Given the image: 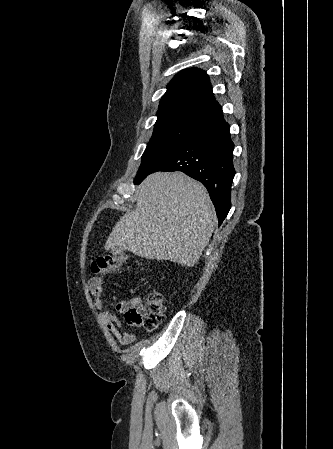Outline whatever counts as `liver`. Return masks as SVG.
<instances>
[{
  "label": "liver",
  "instance_id": "obj_1",
  "mask_svg": "<svg viewBox=\"0 0 333 449\" xmlns=\"http://www.w3.org/2000/svg\"><path fill=\"white\" fill-rule=\"evenodd\" d=\"M136 201L114 226L105 249L194 266L217 225L206 188L182 172H156L136 188Z\"/></svg>",
  "mask_w": 333,
  "mask_h": 449
}]
</instances>
